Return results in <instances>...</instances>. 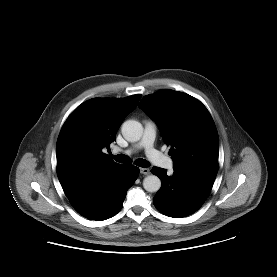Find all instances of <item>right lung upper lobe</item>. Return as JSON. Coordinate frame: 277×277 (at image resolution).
<instances>
[{
	"instance_id": "1",
	"label": "right lung upper lobe",
	"mask_w": 277,
	"mask_h": 277,
	"mask_svg": "<svg viewBox=\"0 0 277 277\" xmlns=\"http://www.w3.org/2000/svg\"><path fill=\"white\" fill-rule=\"evenodd\" d=\"M140 98H93L70 114L56 145L57 175L65 193L118 165L102 149L116 140L122 121Z\"/></svg>"
}]
</instances>
